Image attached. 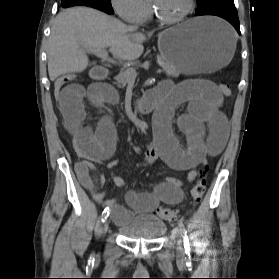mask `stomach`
<instances>
[{
	"label": "stomach",
	"mask_w": 279,
	"mask_h": 279,
	"mask_svg": "<svg viewBox=\"0 0 279 279\" xmlns=\"http://www.w3.org/2000/svg\"><path fill=\"white\" fill-rule=\"evenodd\" d=\"M235 47L231 28L211 17L188 20L158 36L161 56L186 75L227 69Z\"/></svg>",
	"instance_id": "obj_1"
}]
</instances>
